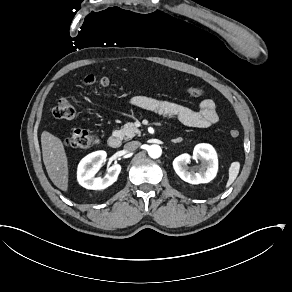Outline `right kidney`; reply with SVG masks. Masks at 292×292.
<instances>
[{"label":"right kidney","instance_id":"obj_1","mask_svg":"<svg viewBox=\"0 0 292 292\" xmlns=\"http://www.w3.org/2000/svg\"><path fill=\"white\" fill-rule=\"evenodd\" d=\"M105 151H96L84 157L77 168V180L86 189L100 190L112 185L118 178L121 166L115 164L107 170V174L101 177H94L106 159Z\"/></svg>","mask_w":292,"mask_h":292}]
</instances>
